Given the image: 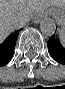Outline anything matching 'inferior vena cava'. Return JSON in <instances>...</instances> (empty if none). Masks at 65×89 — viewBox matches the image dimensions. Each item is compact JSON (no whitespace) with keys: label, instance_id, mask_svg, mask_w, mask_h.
<instances>
[{"label":"inferior vena cava","instance_id":"1","mask_svg":"<svg viewBox=\"0 0 65 89\" xmlns=\"http://www.w3.org/2000/svg\"><path fill=\"white\" fill-rule=\"evenodd\" d=\"M29 19L27 18H21L17 21V28L22 27Z\"/></svg>","mask_w":65,"mask_h":89}]
</instances>
